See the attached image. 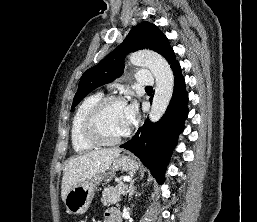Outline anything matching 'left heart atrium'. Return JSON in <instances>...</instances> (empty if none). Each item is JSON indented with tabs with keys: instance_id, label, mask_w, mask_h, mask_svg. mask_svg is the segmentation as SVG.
Instances as JSON below:
<instances>
[{
	"instance_id": "39dd6f15",
	"label": "left heart atrium",
	"mask_w": 257,
	"mask_h": 222,
	"mask_svg": "<svg viewBox=\"0 0 257 222\" xmlns=\"http://www.w3.org/2000/svg\"><path fill=\"white\" fill-rule=\"evenodd\" d=\"M125 120L127 128L129 129L135 122L137 116V109L134 103L125 105Z\"/></svg>"
}]
</instances>
